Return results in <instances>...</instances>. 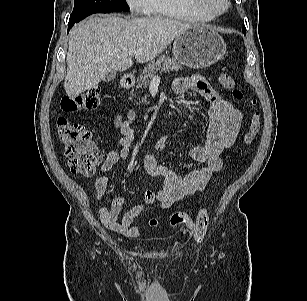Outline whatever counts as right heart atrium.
<instances>
[{
    "instance_id": "d8ad5b80",
    "label": "right heart atrium",
    "mask_w": 307,
    "mask_h": 301,
    "mask_svg": "<svg viewBox=\"0 0 307 301\" xmlns=\"http://www.w3.org/2000/svg\"><path fill=\"white\" fill-rule=\"evenodd\" d=\"M126 2L135 13H147L150 7V0H126Z\"/></svg>"
}]
</instances>
